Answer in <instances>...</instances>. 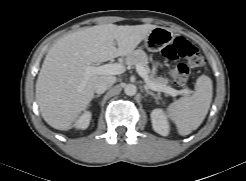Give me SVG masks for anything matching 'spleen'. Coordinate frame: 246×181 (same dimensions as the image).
Masks as SVG:
<instances>
[{
  "label": "spleen",
  "mask_w": 246,
  "mask_h": 181,
  "mask_svg": "<svg viewBox=\"0 0 246 181\" xmlns=\"http://www.w3.org/2000/svg\"><path fill=\"white\" fill-rule=\"evenodd\" d=\"M212 95V80L202 75L197 79L191 96L182 97L167 107V115L180 135H188L201 125L210 108Z\"/></svg>",
  "instance_id": "spleen-1"
}]
</instances>
